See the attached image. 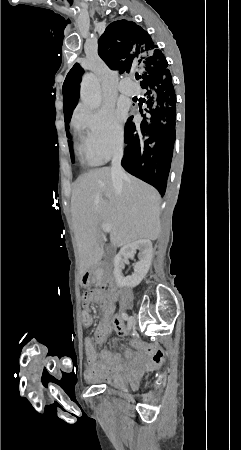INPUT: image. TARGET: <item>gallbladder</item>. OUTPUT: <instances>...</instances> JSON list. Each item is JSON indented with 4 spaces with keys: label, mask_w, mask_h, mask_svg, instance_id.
Wrapping results in <instances>:
<instances>
[{
    "label": "gallbladder",
    "mask_w": 241,
    "mask_h": 450,
    "mask_svg": "<svg viewBox=\"0 0 241 450\" xmlns=\"http://www.w3.org/2000/svg\"><path fill=\"white\" fill-rule=\"evenodd\" d=\"M105 258H107V260H108V258H110V254H108V252H107Z\"/></svg>",
    "instance_id": "bac80fb5"
}]
</instances>
